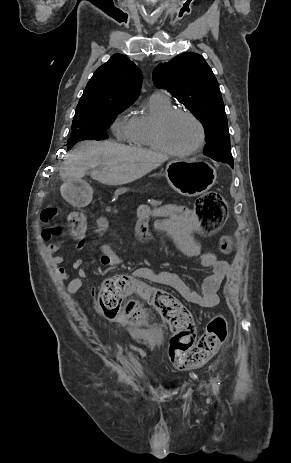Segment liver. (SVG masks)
I'll list each match as a JSON object with an SVG mask.
<instances>
[{
	"instance_id": "liver-1",
	"label": "liver",
	"mask_w": 291,
	"mask_h": 463,
	"mask_svg": "<svg viewBox=\"0 0 291 463\" xmlns=\"http://www.w3.org/2000/svg\"><path fill=\"white\" fill-rule=\"evenodd\" d=\"M167 156L113 141H87L67 155L60 169L64 182H82L90 170L94 180L106 185H123L159 167Z\"/></svg>"
}]
</instances>
